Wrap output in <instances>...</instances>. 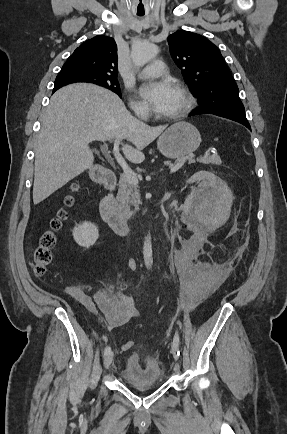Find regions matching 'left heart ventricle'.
Segmentation results:
<instances>
[{"mask_svg": "<svg viewBox=\"0 0 287 434\" xmlns=\"http://www.w3.org/2000/svg\"><path fill=\"white\" fill-rule=\"evenodd\" d=\"M183 105H184V99H183L182 95L180 94V92L176 88V92H175L174 98L170 104V107L163 114L167 115V114L176 113L183 107Z\"/></svg>", "mask_w": 287, "mask_h": 434, "instance_id": "1", "label": "left heart ventricle"}]
</instances>
